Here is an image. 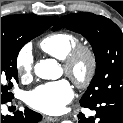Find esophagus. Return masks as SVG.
Returning a JSON list of instances; mask_svg holds the SVG:
<instances>
[{
    "label": "esophagus",
    "mask_w": 123,
    "mask_h": 123,
    "mask_svg": "<svg viewBox=\"0 0 123 123\" xmlns=\"http://www.w3.org/2000/svg\"><path fill=\"white\" fill-rule=\"evenodd\" d=\"M44 119L48 122H57L59 121L61 118L59 117H51V116H44Z\"/></svg>",
    "instance_id": "34e87169"
}]
</instances>
